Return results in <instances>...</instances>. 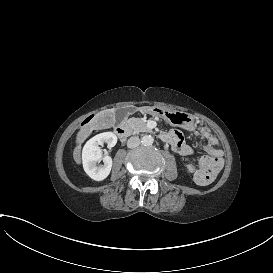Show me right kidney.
I'll list each match as a JSON object with an SVG mask.
<instances>
[{
    "instance_id": "1",
    "label": "right kidney",
    "mask_w": 273,
    "mask_h": 273,
    "mask_svg": "<svg viewBox=\"0 0 273 273\" xmlns=\"http://www.w3.org/2000/svg\"><path fill=\"white\" fill-rule=\"evenodd\" d=\"M117 142V137L113 133H103L89 140L83 149V167L86 174L94 181L101 182L105 180L112 169V159L102 157L100 146L106 144L107 147H113ZM103 160L105 165L102 168L97 166V162Z\"/></svg>"
}]
</instances>
